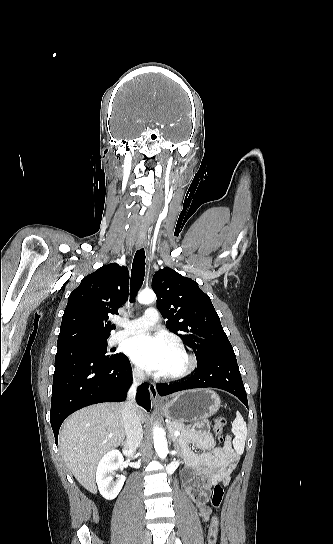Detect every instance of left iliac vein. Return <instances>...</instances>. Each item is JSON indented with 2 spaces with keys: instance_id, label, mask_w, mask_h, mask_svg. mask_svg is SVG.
Masks as SVG:
<instances>
[{
  "instance_id": "4c4485c4",
  "label": "left iliac vein",
  "mask_w": 333,
  "mask_h": 544,
  "mask_svg": "<svg viewBox=\"0 0 333 544\" xmlns=\"http://www.w3.org/2000/svg\"><path fill=\"white\" fill-rule=\"evenodd\" d=\"M166 544H176L175 536L173 534H170V536L168 537V539L166 541Z\"/></svg>"
}]
</instances>
